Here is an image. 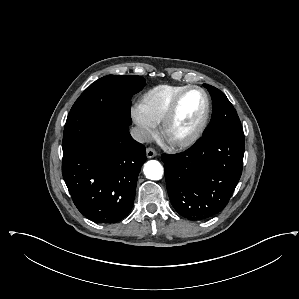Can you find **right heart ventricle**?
Instances as JSON below:
<instances>
[{
  "instance_id": "e07e8e85",
  "label": "right heart ventricle",
  "mask_w": 299,
  "mask_h": 299,
  "mask_svg": "<svg viewBox=\"0 0 299 299\" xmlns=\"http://www.w3.org/2000/svg\"><path fill=\"white\" fill-rule=\"evenodd\" d=\"M185 85H159L145 92L140 101L139 109L153 124L162 122L174 97L183 90Z\"/></svg>"
}]
</instances>
